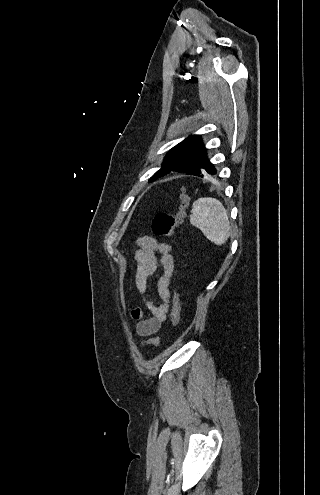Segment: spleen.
Wrapping results in <instances>:
<instances>
[{
  "label": "spleen",
  "mask_w": 320,
  "mask_h": 495,
  "mask_svg": "<svg viewBox=\"0 0 320 495\" xmlns=\"http://www.w3.org/2000/svg\"><path fill=\"white\" fill-rule=\"evenodd\" d=\"M190 222L216 245H223L230 236L229 217L223 204L215 198H199L193 203Z\"/></svg>",
  "instance_id": "spleen-1"
}]
</instances>
